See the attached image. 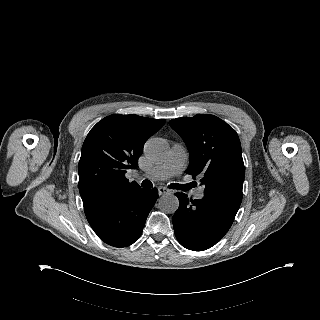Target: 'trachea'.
Returning a JSON list of instances; mask_svg holds the SVG:
<instances>
[{"instance_id":"trachea-1","label":"trachea","mask_w":320,"mask_h":320,"mask_svg":"<svg viewBox=\"0 0 320 320\" xmlns=\"http://www.w3.org/2000/svg\"><path fill=\"white\" fill-rule=\"evenodd\" d=\"M141 186H142L143 188H152V187H153V184H152V182L149 181V180H144V181H142ZM180 187H181V186L178 185V184H173V185H171V188H175V189H180Z\"/></svg>"}]
</instances>
